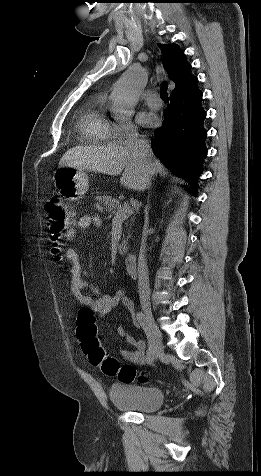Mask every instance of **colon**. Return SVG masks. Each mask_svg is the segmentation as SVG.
Returning <instances> with one entry per match:
<instances>
[{"mask_svg":"<svg viewBox=\"0 0 261 476\" xmlns=\"http://www.w3.org/2000/svg\"><path fill=\"white\" fill-rule=\"evenodd\" d=\"M47 225L53 240L52 253L60 259V238L64 230L73 224V211L59 197H51L45 203ZM77 336L82 349L93 366L99 367L107 376H116L121 382H133L137 371L132 365H120L100 345L97 338L96 316L92 309L82 308L77 317ZM138 379L147 381V375L141 374Z\"/></svg>","mask_w":261,"mask_h":476,"instance_id":"obj_1","label":"colon"}]
</instances>
